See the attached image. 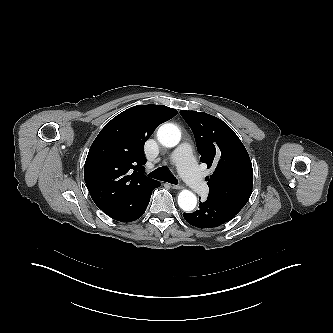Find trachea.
Here are the masks:
<instances>
[{"label":"trachea","mask_w":333,"mask_h":333,"mask_svg":"<svg viewBox=\"0 0 333 333\" xmlns=\"http://www.w3.org/2000/svg\"><path fill=\"white\" fill-rule=\"evenodd\" d=\"M149 177L165 181L172 184H177L178 181L176 177H174L171 172L164 166L157 168L156 170L152 171L148 174Z\"/></svg>","instance_id":"trachea-1"}]
</instances>
